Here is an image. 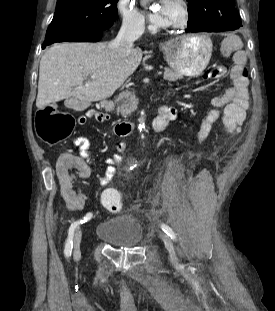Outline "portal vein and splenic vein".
Masks as SVG:
<instances>
[{
    "label": "portal vein and splenic vein",
    "instance_id": "obj_1",
    "mask_svg": "<svg viewBox=\"0 0 275 311\" xmlns=\"http://www.w3.org/2000/svg\"><path fill=\"white\" fill-rule=\"evenodd\" d=\"M157 74H158V75H162V71H159ZM94 78H95V76L92 75V76H91V79H94Z\"/></svg>",
    "mask_w": 275,
    "mask_h": 311
}]
</instances>
